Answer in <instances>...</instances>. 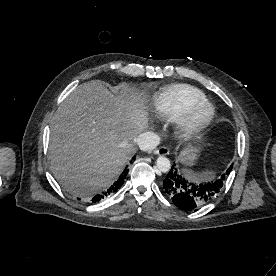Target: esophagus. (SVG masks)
I'll return each instance as SVG.
<instances>
[{
	"label": "esophagus",
	"instance_id": "obj_1",
	"mask_svg": "<svg viewBox=\"0 0 276 276\" xmlns=\"http://www.w3.org/2000/svg\"><path fill=\"white\" fill-rule=\"evenodd\" d=\"M154 153L158 154V155L165 156V155L169 154V149L167 147H165V146H161V147L155 149Z\"/></svg>",
	"mask_w": 276,
	"mask_h": 276
}]
</instances>
